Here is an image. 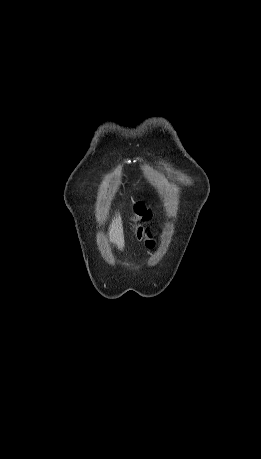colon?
Returning <instances> with one entry per match:
<instances>
[{"instance_id":"1","label":"colon","mask_w":261,"mask_h":459,"mask_svg":"<svg viewBox=\"0 0 261 459\" xmlns=\"http://www.w3.org/2000/svg\"><path fill=\"white\" fill-rule=\"evenodd\" d=\"M135 212L137 215L143 217L140 220V225L135 224L136 219L131 217L129 219L130 224L128 227L123 228L124 236H133L134 234H139L142 238H150L152 235L153 228L150 226L152 221L149 218H146L149 214V210L142 202H138L135 205Z\"/></svg>"}]
</instances>
